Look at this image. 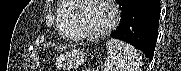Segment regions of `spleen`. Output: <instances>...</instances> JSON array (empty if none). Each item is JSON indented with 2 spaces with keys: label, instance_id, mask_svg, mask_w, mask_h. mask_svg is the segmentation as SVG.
<instances>
[{
  "label": "spleen",
  "instance_id": "3e777b00",
  "mask_svg": "<svg viewBox=\"0 0 181 71\" xmlns=\"http://www.w3.org/2000/svg\"><path fill=\"white\" fill-rule=\"evenodd\" d=\"M106 46L104 71H139L141 57L133 46L116 39L108 40Z\"/></svg>",
  "mask_w": 181,
  "mask_h": 71
}]
</instances>
